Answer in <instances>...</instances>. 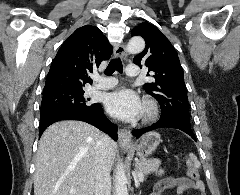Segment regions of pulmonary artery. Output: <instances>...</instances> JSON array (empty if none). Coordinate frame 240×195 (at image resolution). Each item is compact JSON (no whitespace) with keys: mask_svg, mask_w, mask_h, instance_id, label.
<instances>
[{"mask_svg":"<svg viewBox=\"0 0 240 195\" xmlns=\"http://www.w3.org/2000/svg\"><path fill=\"white\" fill-rule=\"evenodd\" d=\"M125 73L128 76H132L133 78H136L139 74V70L137 69L136 65H128L127 69L125 70ZM116 83V80L113 78L108 79H97V83L94 85V89H108L112 87Z\"/></svg>","mask_w":240,"mask_h":195,"instance_id":"1","label":"pulmonary artery"}]
</instances>
